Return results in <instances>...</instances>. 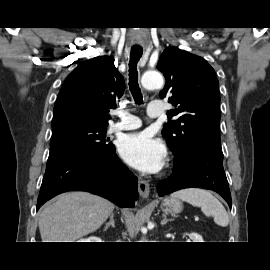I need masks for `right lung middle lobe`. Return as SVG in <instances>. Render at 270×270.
I'll return each mask as SVG.
<instances>
[{
	"label": "right lung middle lobe",
	"mask_w": 270,
	"mask_h": 270,
	"mask_svg": "<svg viewBox=\"0 0 270 270\" xmlns=\"http://www.w3.org/2000/svg\"><path fill=\"white\" fill-rule=\"evenodd\" d=\"M107 125L91 124L79 121L65 122L52 126L50 148L60 144H78L88 147H98L111 150L114 145L107 143Z\"/></svg>",
	"instance_id": "1"
}]
</instances>
